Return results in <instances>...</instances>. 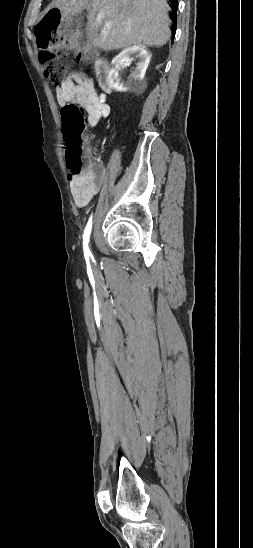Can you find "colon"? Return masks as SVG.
<instances>
[{
    "instance_id": "colon-1",
    "label": "colon",
    "mask_w": 253,
    "mask_h": 548,
    "mask_svg": "<svg viewBox=\"0 0 253 548\" xmlns=\"http://www.w3.org/2000/svg\"><path fill=\"white\" fill-rule=\"evenodd\" d=\"M35 34L40 50V61L43 72L50 81L61 87L67 74V65L62 60L66 55L64 37L66 30L62 25V14L59 10H50L36 25ZM81 44L77 55L79 60L90 59L93 50ZM64 139L66 145V161L71 178H76L86 171L96 173L97 167L86 163L84 159L83 137L85 131L84 109L75 104L63 107Z\"/></svg>"
}]
</instances>
